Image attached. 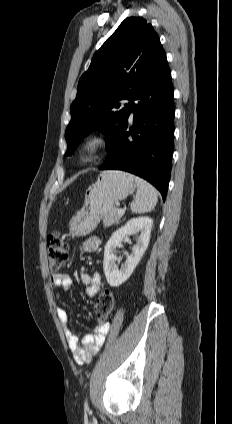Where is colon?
Here are the masks:
<instances>
[{"label":"colon","mask_w":232,"mask_h":424,"mask_svg":"<svg viewBox=\"0 0 232 424\" xmlns=\"http://www.w3.org/2000/svg\"><path fill=\"white\" fill-rule=\"evenodd\" d=\"M47 254L50 270L58 271L68 257V244L64 234L60 231L52 232L47 238ZM114 295L109 290L101 292L95 302L93 312L97 320L106 318L113 310Z\"/></svg>","instance_id":"1"}]
</instances>
